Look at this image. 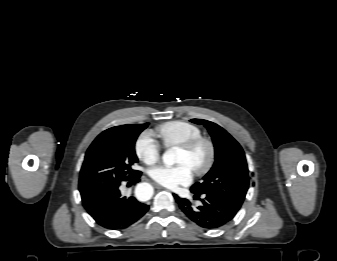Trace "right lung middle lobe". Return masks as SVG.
Returning a JSON list of instances; mask_svg holds the SVG:
<instances>
[{"label":"right lung middle lobe","mask_w":337,"mask_h":261,"mask_svg":"<svg viewBox=\"0 0 337 261\" xmlns=\"http://www.w3.org/2000/svg\"><path fill=\"white\" fill-rule=\"evenodd\" d=\"M148 124L123 125L103 131L88 148L80 171L82 201L138 175L135 142Z\"/></svg>","instance_id":"1"}]
</instances>
